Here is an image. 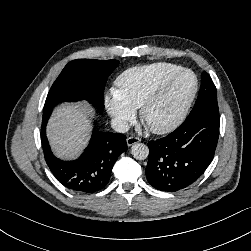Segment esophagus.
Segmentation results:
<instances>
[{"mask_svg":"<svg viewBox=\"0 0 251 251\" xmlns=\"http://www.w3.org/2000/svg\"><path fill=\"white\" fill-rule=\"evenodd\" d=\"M139 141H140V138L135 137V136H131V137L127 138V145L132 146V145L138 143Z\"/></svg>","mask_w":251,"mask_h":251,"instance_id":"esophagus-1","label":"esophagus"}]
</instances>
